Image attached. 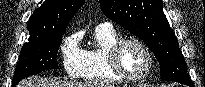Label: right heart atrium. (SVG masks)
I'll list each match as a JSON object with an SVG mask.
<instances>
[{"mask_svg": "<svg viewBox=\"0 0 205 87\" xmlns=\"http://www.w3.org/2000/svg\"><path fill=\"white\" fill-rule=\"evenodd\" d=\"M60 54L66 72L72 77H79L83 69L84 56L76 35L65 38L60 46Z\"/></svg>", "mask_w": 205, "mask_h": 87, "instance_id": "d8ad5b80", "label": "right heart atrium"}]
</instances>
